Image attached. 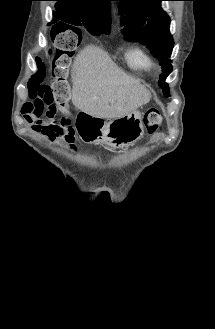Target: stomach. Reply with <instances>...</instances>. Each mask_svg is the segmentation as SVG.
<instances>
[{"instance_id": "0dacf381", "label": "stomach", "mask_w": 215, "mask_h": 329, "mask_svg": "<svg viewBox=\"0 0 215 329\" xmlns=\"http://www.w3.org/2000/svg\"><path fill=\"white\" fill-rule=\"evenodd\" d=\"M97 132L99 136L93 140L94 143L105 144L112 148L128 146L144 134L141 113L133 110L124 116L113 118L104 122Z\"/></svg>"}]
</instances>
